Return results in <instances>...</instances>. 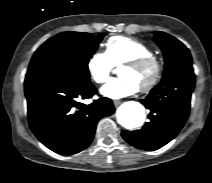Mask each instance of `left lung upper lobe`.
Returning <instances> with one entry per match:
<instances>
[{"label": "left lung upper lobe", "instance_id": "obj_1", "mask_svg": "<svg viewBox=\"0 0 212 183\" xmlns=\"http://www.w3.org/2000/svg\"><path fill=\"white\" fill-rule=\"evenodd\" d=\"M153 40L160 46L164 53L165 70L162 80L170 77L177 70L192 65L189 50L173 36L164 32H156Z\"/></svg>", "mask_w": 212, "mask_h": 183}]
</instances>
